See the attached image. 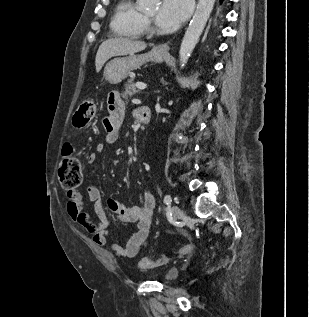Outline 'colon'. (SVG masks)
Wrapping results in <instances>:
<instances>
[{
  "label": "colon",
  "mask_w": 309,
  "mask_h": 317,
  "mask_svg": "<svg viewBox=\"0 0 309 317\" xmlns=\"http://www.w3.org/2000/svg\"><path fill=\"white\" fill-rule=\"evenodd\" d=\"M96 112V104L92 100L83 102L74 115V125L77 128H83L91 121ZM58 179L62 187L72 191L76 189L82 181V168L79 159L72 154V147L66 144L63 149V159L58 169ZM195 247L190 244L185 247L184 251H191ZM142 265L150 267L155 265L153 259L142 260Z\"/></svg>",
  "instance_id": "colon-1"
}]
</instances>
